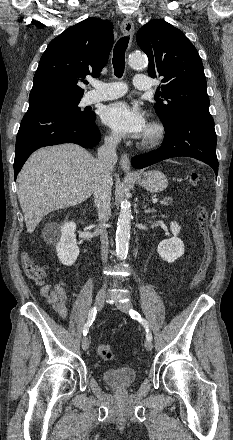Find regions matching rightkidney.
Listing matches in <instances>:
<instances>
[{"label":"right kidney","mask_w":233,"mask_h":440,"mask_svg":"<svg viewBox=\"0 0 233 440\" xmlns=\"http://www.w3.org/2000/svg\"><path fill=\"white\" fill-rule=\"evenodd\" d=\"M76 223L65 222L62 225L50 223L43 231L44 240L56 247L59 261L65 266H71L79 256L76 243Z\"/></svg>","instance_id":"right-kidney-1"}]
</instances>
